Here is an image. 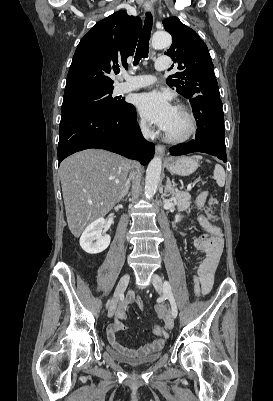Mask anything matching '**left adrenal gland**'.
Masks as SVG:
<instances>
[{
	"instance_id": "a2214340",
	"label": "left adrenal gland",
	"mask_w": 273,
	"mask_h": 401,
	"mask_svg": "<svg viewBox=\"0 0 273 401\" xmlns=\"http://www.w3.org/2000/svg\"><path fill=\"white\" fill-rule=\"evenodd\" d=\"M170 194H172V196H174V194H175V182H171L169 176H167L166 186H165L164 192H163V194H161V196H170Z\"/></svg>"
}]
</instances>
